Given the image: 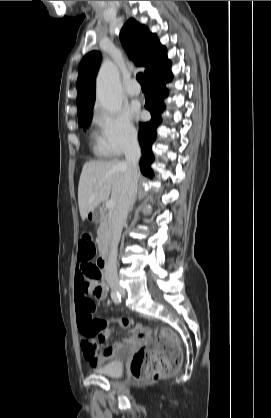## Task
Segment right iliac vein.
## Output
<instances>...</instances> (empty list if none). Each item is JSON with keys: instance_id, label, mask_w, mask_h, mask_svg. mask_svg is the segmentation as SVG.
<instances>
[{"instance_id": "right-iliac-vein-1", "label": "right iliac vein", "mask_w": 271, "mask_h": 418, "mask_svg": "<svg viewBox=\"0 0 271 418\" xmlns=\"http://www.w3.org/2000/svg\"><path fill=\"white\" fill-rule=\"evenodd\" d=\"M113 289H114L115 291H117V292L121 293V294H123V293H124V290H123L121 287H119V286H114V287H113Z\"/></svg>"}]
</instances>
